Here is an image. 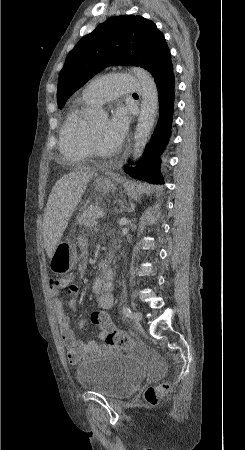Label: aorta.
Here are the masks:
<instances>
[{
  "label": "aorta",
  "mask_w": 245,
  "mask_h": 450,
  "mask_svg": "<svg viewBox=\"0 0 245 450\" xmlns=\"http://www.w3.org/2000/svg\"><path fill=\"white\" fill-rule=\"evenodd\" d=\"M132 72L142 86L141 110L134 135L133 159L137 161L143 153L144 145L154 126L158 110V91L156 83L149 72L140 67H133ZM101 115L103 111L99 112Z\"/></svg>",
  "instance_id": "aorta-1"
}]
</instances>
